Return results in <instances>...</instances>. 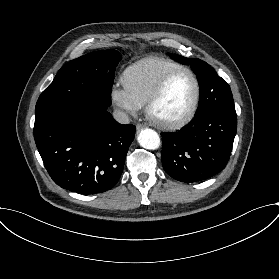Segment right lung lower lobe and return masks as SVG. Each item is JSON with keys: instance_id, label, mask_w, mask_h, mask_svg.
Segmentation results:
<instances>
[{"instance_id": "1", "label": "right lung lower lobe", "mask_w": 279, "mask_h": 279, "mask_svg": "<svg viewBox=\"0 0 279 279\" xmlns=\"http://www.w3.org/2000/svg\"><path fill=\"white\" fill-rule=\"evenodd\" d=\"M107 108L92 96L77 95L36 111L35 143L60 187L92 195L118 182L136 127L119 124Z\"/></svg>"}]
</instances>
